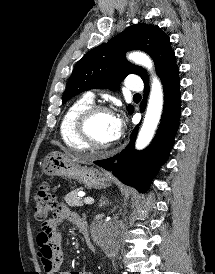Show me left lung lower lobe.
I'll return each mask as SVG.
<instances>
[{
    "label": "left lung lower lobe",
    "instance_id": "1",
    "mask_svg": "<svg viewBox=\"0 0 215 274\" xmlns=\"http://www.w3.org/2000/svg\"><path fill=\"white\" fill-rule=\"evenodd\" d=\"M164 89V108L159 129L153 142L143 151H136L134 143L138 131L136 126L131 134L128 146L118 155L94 163L110 170L124 184L136 188L139 192L148 189L152 177L167 160L174 144V137L179 127L180 118V80L178 66L173 67L161 77ZM149 84H145L141 112L144 111Z\"/></svg>",
    "mask_w": 215,
    "mask_h": 274
}]
</instances>
